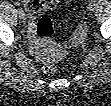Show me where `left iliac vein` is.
Returning <instances> with one entry per match:
<instances>
[{"label":"left iliac vein","instance_id":"obj_1","mask_svg":"<svg viewBox=\"0 0 111 106\" xmlns=\"http://www.w3.org/2000/svg\"><path fill=\"white\" fill-rule=\"evenodd\" d=\"M87 8H88V10H90V11L94 10V8H95V3H94L93 1L90 2V3L88 4Z\"/></svg>","mask_w":111,"mask_h":106}]
</instances>
